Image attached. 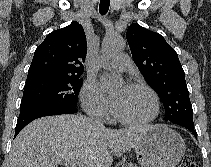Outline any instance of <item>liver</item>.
<instances>
[{
  "label": "liver",
  "instance_id": "obj_1",
  "mask_svg": "<svg viewBox=\"0 0 211 167\" xmlns=\"http://www.w3.org/2000/svg\"><path fill=\"white\" fill-rule=\"evenodd\" d=\"M153 126L110 130L96 127L82 115L34 120L15 138L8 167H57L79 161L82 167H110L114 156L136 147Z\"/></svg>",
  "mask_w": 211,
  "mask_h": 167
}]
</instances>
